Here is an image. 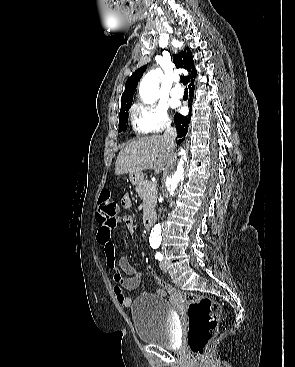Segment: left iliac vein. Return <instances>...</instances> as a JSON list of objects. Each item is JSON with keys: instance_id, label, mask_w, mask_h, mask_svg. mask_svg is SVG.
Listing matches in <instances>:
<instances>
[{"instance_id": "4c4485c4", "label": "left iliac vein", "mask_w": 295, "mask_h": 367, "mask_svg": "<svg viewBox=\"0 0 295 367\" xmlns=\"http://www.w3.org/2000/svg\"><path fill=\"white\" fill-rule=\"evenodd\" d=\"M160 268L163 270V271H167V263L165 260H162L160 262Z\"/></svg>"}]
</instances>
